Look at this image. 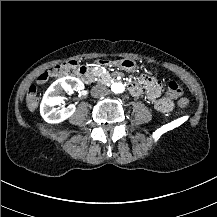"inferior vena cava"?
Here are the masks:
<instances>
[{"instance_id": "inferior-vena-cava-1", "label": "inferior vena cava", "mask_w": 217, "mask_h": 217, "mask_svg": "<svg viewBox=\"0 0 217 217\" xmlns=\"http://www.w3.org/2000/svg\"><path fill=\"white\" fill-rule=\"evenodd\" d=\"M92 93L95 97L104 96L109 93V89L104 85H96L93 88Z\"/></svg>"}]
</instances>
